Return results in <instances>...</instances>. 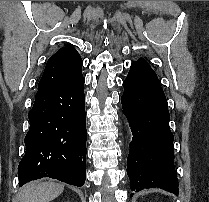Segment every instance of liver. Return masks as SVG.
Here are the masks:
<instances>
[{
  "label": "liver",
  "mask_w": 209,
  "mask_h": 202,
  "mask_svg": "<svg viewBox=\"0 0 209 202\" xmlns=\"http://www.w3.org/2000/svg\"><path fill=\"white\" fill-rule=\"evenodd\" d=\"M64 190V185L55 182H32L24 186L18 202H49L58 197Z\"/></svg>",
  "instance_id": "obj_1"
}]
</instances>
